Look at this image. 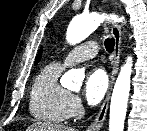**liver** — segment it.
<instances>
[{"instance_id":"obj_1","label":"liver","mask_w":147,"mask_h":131,"mask_svg":"<svg viewBox=\"0 0 147 131\" xmlns=\"http://www.w3.org/2000/svg\"><path fill=\"white\" fill-rule=\"evenodd\" d=\"M26 131H75L73 128L50 123L37 122L27 128Z\"/></svg>"}]
</instances>
